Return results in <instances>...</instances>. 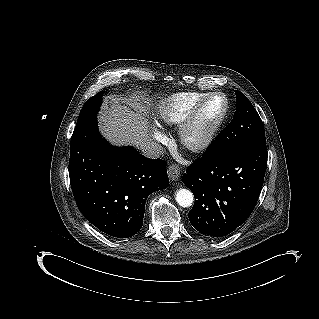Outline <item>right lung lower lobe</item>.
<instances>
[{"mask_svg":"<svg viewBox=\"0 0 319 319\" xmlns=\"http://www.w3.org/2000/svg\"><path fill=\"white\" fill-rule=\"evenodd\" d=\"M69 177L83 216L116 238L141 229L147 197L169 184L163 160L146 158L132 147L109 145L98 133L96 115L75 127Z\"/></svg>","mask_w":319,"mask_h":319,"instance_id":"right-lung-lower-lobe-1","label":"right lung lower lobe"}]
</instances>
